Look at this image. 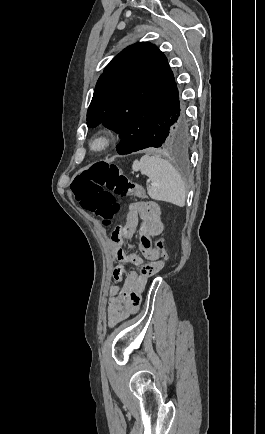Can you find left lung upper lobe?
I'll return each mask as SVG.
<instances>
[{"label": "left lung upper lobe", "instance_id": "left-lung-upper-lobe-1", "mask_svg": "<svg viewBox=\"0 0 265 434\" xmlns=\"http://www.w3.org/2000/svg\"><path fill=\"white\" fill-rule=\"evenodd\" d=\"M179 100L165 55L139 42L120 52L104 69L87 112L90 128L103 124L122 139L160 125Z\"/></svg>", "mask_w": 265, "mask_h": 434}]
</instances>
